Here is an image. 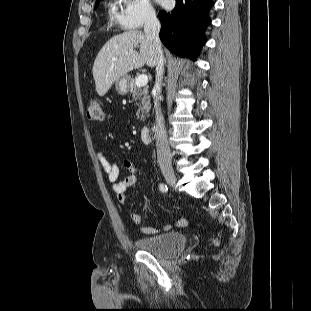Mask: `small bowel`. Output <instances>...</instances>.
Instances as JSON below:
<instances>
[{
  "label": "small bowel",
  "mask_w": 311,
  "mask_h": 311,
  "mask_svg": "<svg viewBox=\"0 0 311 311\" xmlns=\"http://www.w3.org/2000/svg\"><path fill=\"white\" fill-rule=\"evenodd\" d=\"M97 158L101 164L103 171L106 173L109 182L112 185V190L115 192L118 201L121 204H125V202L127 200L126 190L129 187L135 185L138 181L137 175H136L134 169L131 168V163L128 161L125 162V165L128 168L132 169L131 173L127 174L122 179H120L119 178V169L115 163L111 162L101 151L97 152ZM129 217H130L131 221L135 224H141L143 221L142 215H140L138 213L131 212V213H129ZM187 223L188 222L186 219H179L176 222V225L179 227H184L187 225ZM170 229H171V225L165 224L162 226L161 229H157L154 227H143L142 232L144 234L152 235V234H157V233L162 232V231L163 232L169 231Z\"/></svg>",
  "instance_id": "1"
}]
</instances>
